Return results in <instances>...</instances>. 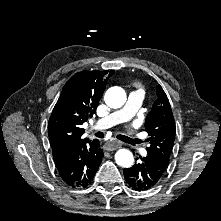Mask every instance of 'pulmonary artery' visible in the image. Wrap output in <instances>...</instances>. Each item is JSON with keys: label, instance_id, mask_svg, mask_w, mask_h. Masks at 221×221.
Wrapping results in <instances>:
<instances>
[{"label": "pulmonary artery", "instance_id": "obj_1", "mask_svg": "<svg viewBox=\"0 0 221 221\" xmlns=\"http://www.w3.org/2000/svg\"><path fill=\"white\" fill-rule=\"evenodd\" d=\"M143 98L144 95L142 90L138 89L131 92L129 94L127 103L122 109L101 118L94 126V128L106 129L114 125L129 121L133 117L137 109L141 106ZM126 132L128 135L136 138L131 129H127ZM136 140L138 141L137 138ZM143 155H146L145 151H143Z\"/></svg>", "mask_w": 221, "mask_h": 221}]
</instances>
